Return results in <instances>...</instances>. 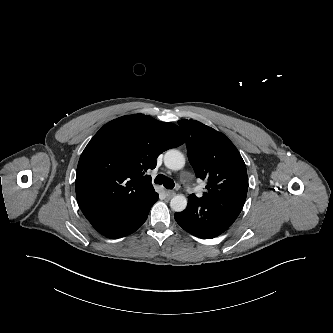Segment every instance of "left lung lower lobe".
<instances>
[{
  "label": "left lung lower lobe",
  "instance_id": "0a47b994",
  "mask_svg": "<svg viewBox=\"0 0 333 333\" xmlns=\"http://www.w3.org/2000/svg\"><path fill=\"white\" fill-rule=\"evenodd\" d=\"M247 190L230 187L197 198H188L187 208L175 213L177 223L187 232L202 239H212L226 229L240 214Z\"/></svg>",
  "mask_w": 333,
  "mask_h": 333
}]
</instances>
